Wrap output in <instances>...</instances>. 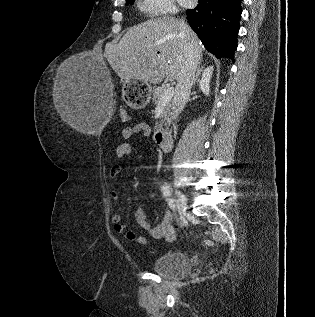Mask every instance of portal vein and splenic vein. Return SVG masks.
<instances>
[{"mask_svg":"<svg viewBox=\"0 0 315 317\" xmlns=\"http://www.w3.org/2000/svg\"><path fill=\"white\" fill-rule=\"evenodd\" d=\"M174 94V88L173 87H168L167 89H165L163 91V95H162V102H166L167 100H170L172 98Z\"/></svg>","mask_w":315,"mask_h":317,"instance_id":"portal-vein-and-splenic-vein-1","label":"portal vein and splenic vein"}]
</instances>
